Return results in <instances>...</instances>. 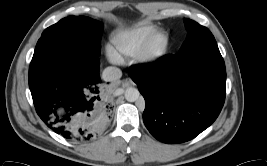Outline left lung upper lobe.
<instances>
[{
	"mask_svg": "<svg viewBox=\"0 0 267 166\" xmlns=\"http://www.w3.org/2000/svg\"><path fill=\"white\" fill-rule=\"evenodd\" d=\"M186 29L188 31L186 40L182 44L179 52H183L187 50L189 47L194 45L196 42L206 39V38H214L212 33L209 31L208 28L201 26L197 22L190 20V19H184Z\"/></svg>",
	"mask_w": 267,
	"mask_h": 166,
	"instance_id": "1",
	"label": "left lung upper lobe"
}]
</instances>
